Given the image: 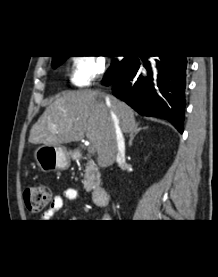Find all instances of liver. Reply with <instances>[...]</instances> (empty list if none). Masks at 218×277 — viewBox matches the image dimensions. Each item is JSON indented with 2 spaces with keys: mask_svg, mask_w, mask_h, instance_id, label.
Instances as JSON below:
<instances>
[{
  "mask_svg": "<svg viewBox=\"0 0 218 277\" xmlns=\"http://www.w3.org/2000/svg\"><path fill=\"white\" fill-rule=\"evenodd\" d=\"M112 112L124 133L134 131L137 126L134 112L119 99L98 91L63 92L32 126L29 142L60 146L78 142L86 135L97 151L98 164L110 166L117 153Z\"/></svg>",
  "mask_w": 218,
  "mask_h": 277,
  "instance_id": "1",
  "label": "liver"
}]
</instances>
